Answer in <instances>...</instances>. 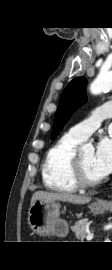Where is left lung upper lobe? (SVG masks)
<instances>
[{
	"instance_id": "5c2ea615",
	"label": "left lung upper lobe",
	"mask_w": 112,
	"mask_h": 270,
	"mask_svg": "<svg viewBox=\"0 0 112 270\" xmlns=\"http://www.w3.org/2000/svg\"><path fill=\"white\" fill-rule=\"evenodd\" d=\"M86 84L87 80L79 77L72 80L64 89L55 114L51 139H54L58 135L73 112L80 105L87 102Z\"/></svg>"
}]
</instances>
